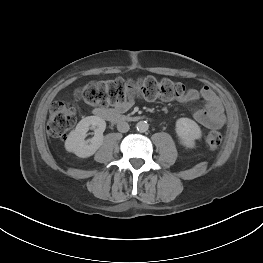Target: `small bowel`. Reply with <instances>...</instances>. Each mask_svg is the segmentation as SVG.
<instances>
[{"mask_svg": "<svg viewBox=\"0 0 263 263\" xmlns=\"http://www.w3.org/2000/svg\"><path fill=\"white\" fill-rule=\"evenodd\" d=\"M199 99H203L204 106L193 112L194 119L207 128H220L223 126L225 123L223 106L210 87L205 86L200 90L189 89L186 95L181 98V101L184 103H192ZM132 104L133 101L130 99L117 105L116 109L118 112H125Z\"/></svg>", "mask_w": 263, "mask_h": 263, "instance_id": "small-bowel-1", "label": "small bowel"}]
</instances>
